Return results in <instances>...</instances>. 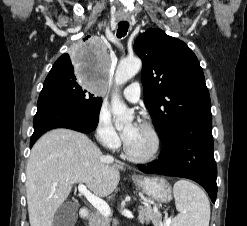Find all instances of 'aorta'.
Segmentation results:
<instances>
[{"label": "aorta", "instance_id": "762f6f07", "mask_svg": "<svg viewBox=\"0 0 247 226\" xmlns=\"http://www.w3.org/2000/svg\"><path fill=\"white\" fill-rule=\"evenodd\" d=\"M141 60L138 58L125 59L118 64L114 82L116 86L125 84L134 77L141 68ZM112 114L117 128L130 124L133 119V112L126 107L120 99L118 93H115L111 99Z\"/></svg>", "mask_w": 247, "mask_h": 226}]
</instances>
